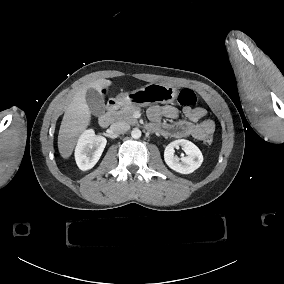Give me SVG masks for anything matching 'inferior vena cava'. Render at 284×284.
<instances>
[{
    "label": "inferior vena cava",
    "mask_w": 284,
    "mask_h": 284,
    "mask_svg": "<svg viewBox=\"0 0 284 284\" xmlns=\"http://www.w3.org/2000/svg\"><path fill=\"white\" fill-rule=\"evenodd\" d=\"M130 129L129 124L119 121L110 126V130L115 134H124Z\"/></svg>",
    "instance_id": "inferior-vena-cava-1"
}]
</instances>
